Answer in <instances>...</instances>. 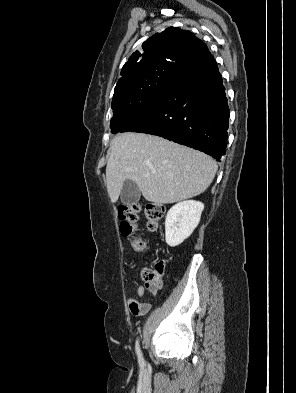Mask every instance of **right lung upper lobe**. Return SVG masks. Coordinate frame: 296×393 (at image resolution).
<instances>
[{"label":"right lung upper lobe","instance_id":"cb5924a9","mask_svg":"<svg viewBox=\"0 0 296 393\" xmlns=\"http://www.w3.org/2000/svg\"><path fill=\"white\" fill-rule=\"evenodd\" d=\"M142 48L123 66L112 104L134 98L154 78H174L209 53L205 43L193 33L175 27L154 34Z\"/></svg>","mask_w":296,"mask_h":393}]
</instances>
